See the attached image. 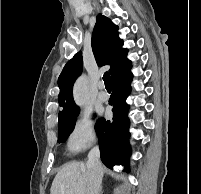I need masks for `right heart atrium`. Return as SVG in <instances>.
Here are the masks:
<instances>
[{"label":"right heart atrium","instance_id":"right-heart-atrium-1","mask_svg":"<svg viewBox=\"0 0 201 194\" xmlns=\"http://www.w3.org/2000/svg\"><path fill=\"white\" fill-rule=\"evenodd\" d=\"M95 135L92 117L83 113L76 118L69 132L67 146L73 151L82 149L94 141Z\"/></svg>","mask_w":201,"mask_h":194}]
</instances>
